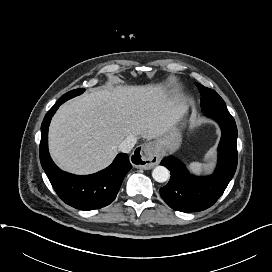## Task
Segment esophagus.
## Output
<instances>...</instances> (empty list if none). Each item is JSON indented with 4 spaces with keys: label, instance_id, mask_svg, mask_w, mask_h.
<instances>
[{
    "label": "esophagus",
    "instance_id": "esophagus-1",
    "mask_svg": "<svg viewBox=\"0 0 272 272\" xmlns=\"http://www.w3.org/2000/svg\"><path fill=\"white\" fill-rule=\"evenodd\" d=\"M161 154L155 143L147 142L132 154V162L136 168L149 170L159 163Z\"/></svg>",
    "mask_w": 272,
    "mask_h": 272
}]
</instances>
